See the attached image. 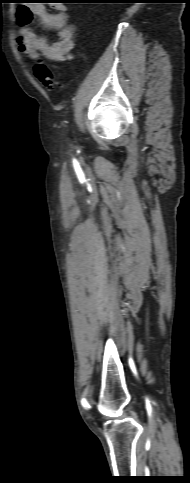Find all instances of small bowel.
Segmentation results:
<instances>
[{
    "instance_id": "1",
    "label": "small bowel",
    "mask_w": 190,
    "mask_h": 483,
    "mask_svg": "<svg viewBox=\"0 0 190 483\" xmlns=\"http://www.w3.org/2000/svg\"><path fill=\"white\" fill-rule=\"evenodd\" d=\"M54 12H48L43 4L20 6L16 11V19L22 26L17 38L18 49L27 58L35 60L42 54L52 62L65 63L73 59L74 31L69 23V15L65 6L57 4ZM38 17L42 25L56 31V40L49 43L44 36L37 35L29 27L33 17Z\"/></svg>"
}]
</instances>
